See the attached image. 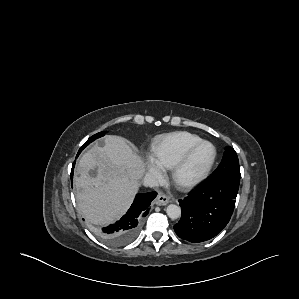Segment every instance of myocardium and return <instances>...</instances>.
Here are the masks:
<instances>
[{"label":"myocardium","mask_w":299,"mask_h":299,"mask_svg":"<svg viewBox=\"0 0 299 299\" xmlns=\"http://www.w3.org/2000/svg\"><path fill=\"white\" fill-rule=\"evenodd\" d=\"M203 145H210L213 149V156L207 167L198 175L192 177V178H185L184 172L186 168L188 167L189 163L191 162V159L193 158L194 154L198 151L199 148H201ZM217 159V149L215 145L206 140H202L193 147H191L186 154L182 157V159L176 164V166L173 168L172 172V180L174 185L180 189V190H189L200 183H202L211 173L215 162Z\"/></svg>","instance_id":"myocardium-1"}]
</instances>
